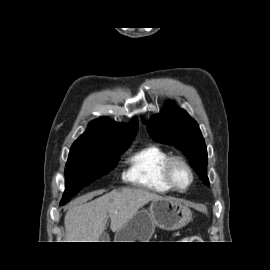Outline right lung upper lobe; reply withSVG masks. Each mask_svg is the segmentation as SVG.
Segmentation results:
<instances>
[{"mask_svg":"<svg viewBox=\"0 0 270 270\" xmlns=\"http://www.w3.org/2000/svg\"><path fill=\"white\" fill-rule=\"evenodd\" d=\"M138 130V121L134 118L128 125L118 124L101 117L92 121L72 146H104L131 142Z\"/></svg>","mask_w":270,"mask_h":270,"instance_id":"1","label":"right lung upper lobe"}]
</instances>
